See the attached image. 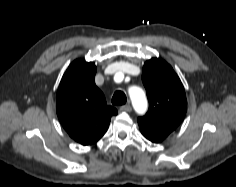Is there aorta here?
<instances>
[{"label":"aorta","mask_w":236,"mask_h":187,"mask_svg":"<svg viewBox=\"0 0 236 187\" xmlns=\"http://www.w3.org/2000/svg\"><path fill=\"white\" fill-rule=\"evenodd\" d=\"M131 101L138 111H143L146 107V98L142 89L133 87L129 90Z\"/></svg>","instance_id":"762f6f07"}]
</instances>
